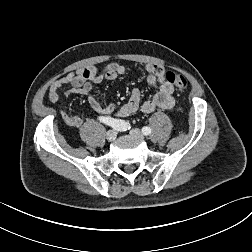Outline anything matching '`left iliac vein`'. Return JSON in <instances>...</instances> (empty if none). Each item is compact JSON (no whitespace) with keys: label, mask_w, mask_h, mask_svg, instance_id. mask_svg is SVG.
<instances>
[{"label":"left iliac vein","mask_w":252,"mask_h":252,"mask_svg":"<svg viewBox=\"0 0 252 252\" xmlns=\"http://www.w3.org/2000/svg\"><path fill=\"white\" fill-rule=\"evenodd\" d=\"M130 134L133 135V136H135V137H138L140 139H143V134H142V132L139 129H132L130 131Z\"/></svg>","instance_id":"1"}]
</instances>
